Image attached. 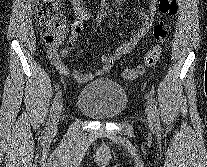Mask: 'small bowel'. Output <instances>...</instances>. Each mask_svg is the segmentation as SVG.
Masks as SVG:
<instances>
[{"mask_svg":"<svg viewBox=\"0 0 207 167\" xmlns=\"http://www.w3.org/2000/svg\"><path fill=\"white\" fill-rule=\"evenodd\" d=\"M70 3L76 15V20L69 27L71 36L66 43V47L63 50L58 49L65 36V32H63L59 44L49 47L47 53L52 64L62 75L71 76L77 82L85 83L107 74L120 58L133 51L152 25L154 15L157 10L158 0H148L146 10L139 13L141 21L140 26L131 35L128 41L116 48L111 54H102L99 57L102 65L98 69L88 73H82L77 67H68L62 61V56H71V51L75 47L76 39L82 30L83 24L89 21L91 17L89 12L83 7L81 0H70Z\"/></svg>","mask_w":207,"mask_h":167,"instance_id":"c3829d8e","label":"small bowel"}]
</instances>
